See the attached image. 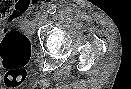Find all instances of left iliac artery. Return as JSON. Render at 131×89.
Returning a JSON list of instances; mask_svg holds the SVG:
<instances>
[{
    "instance_id": "44dca946",
    "label": "left iliac artery",
    "mask_w": 131,
    "mask_h": 89,
    "mask_svg": "<svg viewBox=\"0 0 131 89\" xmlns=\"http://www.w3.org/2000/svg\"><path fill=\"white\" fill-rule=\"evenodd\" d=\"M56 6L54 5V4H52V5H50L49 7H48V10H47V12L49 13V14H54L55 12H56Z\"/></svg>"
}]
</instances>
